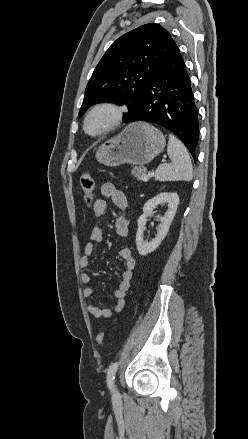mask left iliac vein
<instances>
[{
  "label": "left iliac vein",
  "instance_id": "left-iliac-vein-1",
  "mask_svg": "<svg viewBox=\"0 0 248 439\" xmlns=\"http://www.w3.org/2000/svg\"><path fill=\"white\" fill-rule=\"evenodd\" d=\"M112 397H113V399H116L119 397V391H118L116 385H114L112 387Z\"/></svg>",
  "mask_w": 248,
  "mask_h": 439
}]
</instances>
